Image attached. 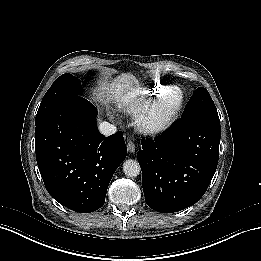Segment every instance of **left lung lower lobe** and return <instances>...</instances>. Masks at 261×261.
Returning <instances> with one entry per match:
<instances>
[{
	"label": "left lung lower lobe",
	"mask_w": 261,
	"mask_h": 261,
	"mask_svg": "<svg viewBox=\"0 0 261 261\" xmlns=\"http://www.w3.org/2000/svg\"><path fill=\"white\" fill-rule=\"evenodd\" d=\"M218 116L181 118L154 141L142 139L137 159L146 204L173 213L195 204L206 192L219 157Z\"/></svg>",
	"instance_id": "left-lung-lower-lobe-1"
}]
</instances>
